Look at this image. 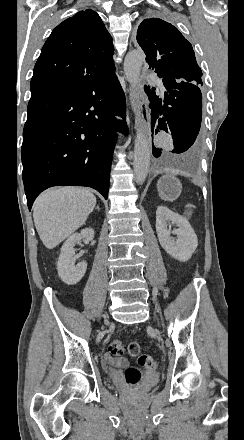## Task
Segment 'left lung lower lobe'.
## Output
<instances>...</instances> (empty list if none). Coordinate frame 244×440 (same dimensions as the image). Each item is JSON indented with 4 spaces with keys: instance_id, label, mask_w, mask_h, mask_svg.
I'll use <instances>...</instances> for the list:
<instances>
[{
    "instance_id": "obj_1",
    "label": "left lung lower lobe",
    "mask_w": 244,
    "mask_h": 440,
    "mask_svg": "<svg viewBox=\"0 0 244 440\" xmlns=\"http://www.w3.org/2000/svg\"><path fill=\"white\" fill-rule=\"evenodd\" d=\"M166 89L164 97L158 98L154 88L145 86L151 103L152 133L163 130L173 139L172 153H183L195 147L202 119V94L199 84L178 82L172 78L162 79ZM153 155L159 157L161 149L153 145Z\"/></svg>"
}]
</instances>
